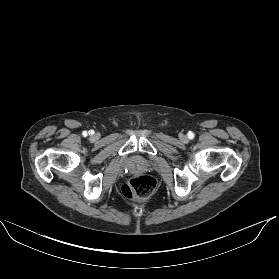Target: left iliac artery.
Segmentation results:
<instances>
[{"mask_svg":"<svg viewBox=\"0 0 279 279\" xmlns=\"http://www.w3.org/2000/svg\"><path fill=\"white\" fill-rule=\"evenodd\" d=\"M194 137V134L193 133H190L189 134V138H193Z\"/></svg>","mask_w":279,"mask_h":279,"instance_id":"obj_1","label":"left iliac artery"}]
</instances>
